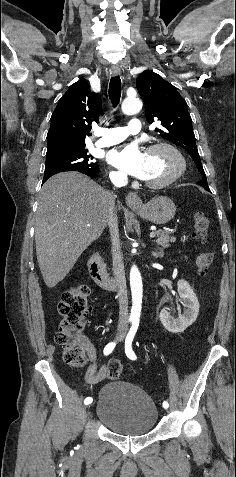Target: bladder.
<instances>
[{"instance_id": "31cf9c89", "label": "bladder", "mask_w": 236, "mask_h": 477, "mask_svg": "<svg viewBox=\"0 0 236 477\" xmlns=\"http://www.w3.org/2000/svg\"><path fill=\"white\" fill-rule=\"evenodd\" d=\"M98 421L113 433L141 436L150 433L158 422V410L139 386L113 380L105 383L95 401Z\"/></svg>"}]
</instances>
